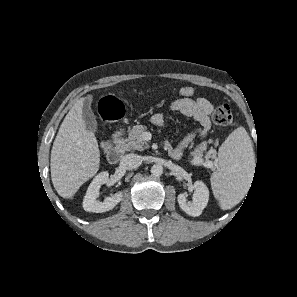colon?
Returning <instances> with one entry per match:
<instances>
[{"label": "colon", "instance_id": "obj_1", "mask_svg": "<svg viewBox=\"0 0 297 297\" xmlns=\"http://www.w3.org/2000/svg\"><path fill=\"white\" fill-rule=\"evenodd\" d=\"M196 93L195 88L186 86L179 90L182 98H192ZM98 116L103 124H109L119 120L123 115L122 103L114 96H104L97 106ZM217 125H228L232 121V111L228 104L218 105L212 115ZM107 146V143H104Z\"/></svg>", "mask_w": 297, "mask_h": 297}]
</instances>
